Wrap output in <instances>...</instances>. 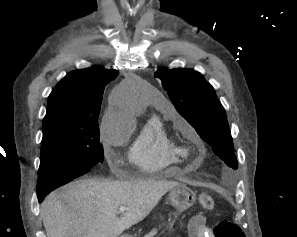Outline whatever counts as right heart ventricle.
I'll return each mask as SVG.
<instances>
[{
	"instance_id": "e07e8e85",
	"label": "right heart ventricle",
	"mask_w": 297,
	"mask_h": 237,
	"mask_svg": "<svg viewBox=\"0 0 297 237\" xmlns=\"http://www.w3.org/2000/svg\"><path fill=\"white\" fill-rule=\"evenodd\" d=\"M167 106L160 109L162 116H169ZM187 149L168 136L160 116L150 117L141 127L129 149L131 163L146 173L162 171L183 162Z\"/></svg>"
}]
</instances>
